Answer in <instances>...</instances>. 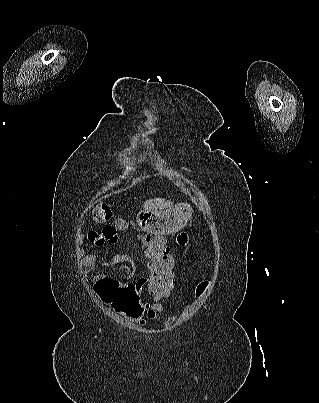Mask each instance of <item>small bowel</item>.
<instances>
[{
  "mask_svg": "<svg viewBox=\"0 0 319 403\" xmlns=\"http://www.w3.org/2000/svg\"><path fill=\"white\" fill-rule=\"evenodd\" d=\"M126 228L125 223H116L102 224L101 229H90L86 234L89 237V246L104 249L105 253L121 254L123 248L120 245V238ZM191 241V235L184 230L178 231L172 239L173 245L180 250L186 249ZM163 252L166 250L164 249ZM97 259L98 256L95 254L85 255L79 264L81 273L87 275L94 271ZM120 259L128 260L126 256H121ZM171 259L173 258L171 257ZM104 277L101 273L94 275L91 280V295L100 305H105L106 309H114L115 315H127L140 325H145L146 322L155 320L162 312V304H155L154 300L143 303V300L137 295L140 290L145 289L146 282H149L148 277L139 278L135 284L126 283L125 279Z\"/></svg>",
  "mask_w": 319,
  "mask_h": 403,
  "instance_id": "c3829d8e",
  "label": "small bowel"
}]
</instances>
